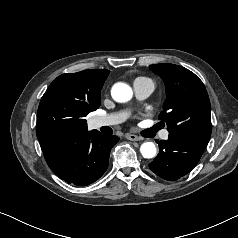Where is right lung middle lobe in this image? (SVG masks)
Returning a JSON list of instances; mask_svg holds the SVG:
<instances>
[{
  "mask_svg": "<svg viewBox=\"0 0 238 238\" xmlns=\"http://www.w3.org/2000/svg\"><path fill=\"white\" fill-rule=\"evenodd\" d=\"M98 107H99V106H96V107L90 108V109L88 110V113H90L91 111L96 110Z\"/></svg>",
  "mask_w": 238,
  "mask_h": 238,
  "instance_id": "right-lung-middle-lobe-1",
  "label": "right lung middle lobe"
}]
</instances>
